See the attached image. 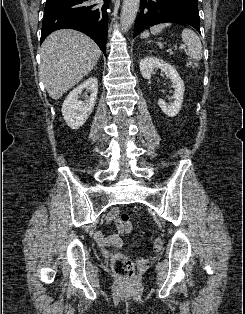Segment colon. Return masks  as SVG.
I'll return each mask as SVG.
<instances>
[{"mask_svg": "<svg viewBox=\"0 0 245 314\" xmlns=\"http://www.w3.org/2000/svg\"><path fill=\"white\" fill-rule=\"evenodd\" d=\"M191 67H195L194 62H189ZM120 228L125 233H130L132 230L131 222L127 213H121L118 218ZM154 250H160L162 248V241L156 239L152 243ZM112 268L116 274L125 280H131L134 273V264L130 258L121 254H114L112 256Z\"/></svg>", "mask_w": 245, "mask_h": 314, "instance_id": "5ec220e1", "label": "colon"}]
</instances>
